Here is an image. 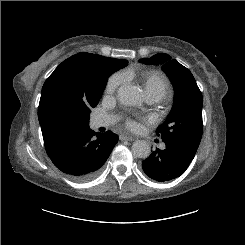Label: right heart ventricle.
<instances>
[{
    "label": "right heart ventricle",
    "instance_id": "obj_1",
    "mask_svg": "<svg viewBox=\"0 0 245 245\" xmlns=\"http://www.w3.org/2000/svg\"><path fill=\"white\" fill-rule=\"evenodd\" d=\"M146 96L161 100L170 93V84L164 74L159 71H149L143 76Z\"/></svg>",
    "mask_w": 245,
    "mask_h": 245
}]
</instances>
